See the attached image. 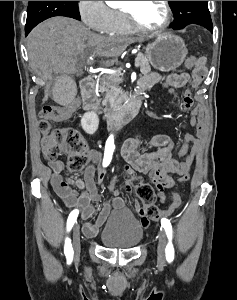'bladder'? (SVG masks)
<instances>
[{"label":"bladder","instance_id":"obj_1","mask_svg":"<svg viewBox=\"0 0 237 300\" xmlns=\"http://www.w3.org/2000/svg\"><path fill=\"white\" fill-rule=\"evenodd\" d=\"M143 236L144 228L140 221L127 210L112 215L98 235L105 247L116 249L133 248Z\"/></svg>","mask_w":237,"mask_h":300}]
</instances>
